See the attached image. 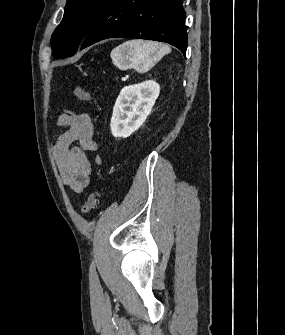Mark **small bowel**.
I'll use <instances>...</instances> for the list:
<instances>
[{"instance_id": "1", "label": "small bowel", "mask_w": 285, "mask_h": 335, "mask_svg": "<svg viewBox=\"0 0 285 335\" xmlns=\"http://www.w3.org/2000/svg\"><path fill=\"white\" fill-rule=\"evenodd\" d=\"M57 123L67 128L53 146L57 168L63 183L80 193L90 185L92 163L88 153L97 149L94 123L88 114L72 112L62 114ZM95 162L99 164L100 158Z\"/></svg>"}]
</instances>
